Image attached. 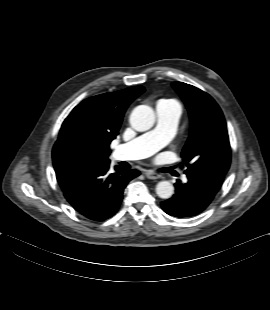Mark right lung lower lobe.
Listing matches in <instances>:
<instances>
[{
	"mask_svg": "<svg viewBox=\"0 0 270 310\" xmlns=\"http://www.w3.org/2000/svg\"><path fill=\"white\" fill-rule=\"evenodd\" d=\"M110 173L109 163L56 172L57 181L67 201L84 217L104 221L118 210L124 188L140 173L117 166Z\"/></svg>",
	"mask_w": 270,
	"mask_h": 310,
	"instance_id": "1",
	"label": "right lung lower lobe"
}]
</instances>
